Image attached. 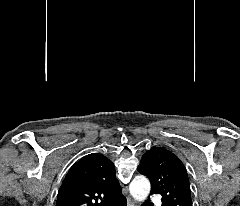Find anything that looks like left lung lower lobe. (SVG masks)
I'll use <instances>...</instances> for the list:
<instances>
[{
    "mask_svg": "<svg viewBox=\"0 0 240 206\" xmlns=\"http://www.w3.org/2000/svg\"><path fill=\"white\" fill-rule=\"evenodd\" d=\"M143 206H153V204L150 202H146L145 204H143Z\"/></svg>",
    "mask_w": 240,
    "mask_h": 206,
    "instance_id": "obj_1",
    "label": "left lung lower lobe"
}]
</instances>
